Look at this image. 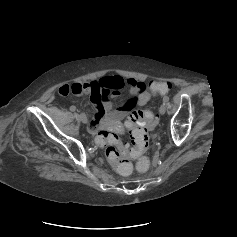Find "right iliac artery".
Masks as SVG:
<instances>
[{
	"label": "right iliac artery",
	"instance_id": "82829eb1",
	"mask_svg": "<svg viewBox=\"0 0 237 237\" xmlns=\"http://www.w3.org/2000/svg\"><path fill=\"white\" fill-rule=\"evenodd\" d=\"M76 110V107L75 106H71L70 107V111H75Z\"/></svg>",
	"mask_w": 237,
	"mask_h": 237
}]
</instances>
